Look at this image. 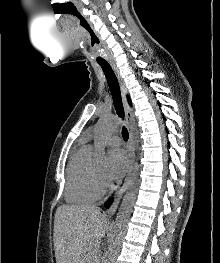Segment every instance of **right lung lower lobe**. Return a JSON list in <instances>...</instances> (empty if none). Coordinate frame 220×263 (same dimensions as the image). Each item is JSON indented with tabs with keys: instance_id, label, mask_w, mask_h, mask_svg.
Masks as SVG:
<instances>
[{
	"instance_id": "1",
	"label": "right lung lower lobe",
	"mask_w": 220,
	"mask_h": 263,
	"mask_svg": "<svg viewBox=\"0 0 220 263\" xmlns=\"http://www.w3.org/2000/svg\"><path fill=\"white\" fill-rule=\"evenodd\" d=\"M111 202H112V199L108 200V201L105 203V206L108 208V207L110 206Z\"/></svg>"
}]
</instances>
